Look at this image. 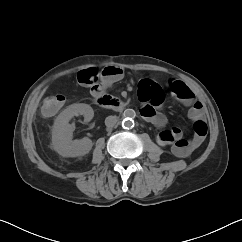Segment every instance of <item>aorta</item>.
Segmentation results:
<instances>
[{
	"mask_svg": "<svg viewBox=\"0 0 242 242\" xmlns=\"http://www.w3.org/2000/svg\"><path fill=\"white\" fill-rule=\"evenodd\" d=\"M124 119L122 121V127L124 129H131L134 127V118L136 112L133 109H126L123 113Z\"/></svg>",
	"mask_w": 242,
	"mask_h": 242,
	"instance_id": "1",
	"label": "aorta"
}]
</instances>
